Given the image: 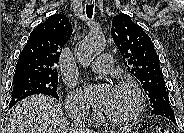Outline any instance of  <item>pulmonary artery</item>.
Returning <instances> with one entry per match:
<instances>
[{
  "label": "pulmonary artery",
  "mask_w": 184,
  "mask_h": 133,
  "mask_svg": "<svg viewBox=\"0 0 184 133\" xmlns=\"http://www.w3.org/2000/svg\"><path fill=\"white\" fill-rule=\"evenodd\" d=\"M90 67L96 73H107L113 68V57L110 54H101Z\"/></svg>",
  "instance_id": "e3ab8cb5"
}]
</instances>
